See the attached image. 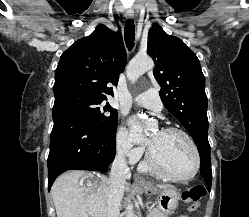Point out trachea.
Wrapping results in <instances>:
<instances>
[{
	"label": "trachea",
	"mask_w": 249,
	"mask_h": 217,
	"mask_svg": "<svg viewBox=\"0 0 249 217\" xmlns=\"http://www.w3.org/2000/svg\"><path fill=\"white\" fill-rule=\"evenodd\" d=\"M124 39L127 48L131 50L134 47L135 40V26L132 19L127 20L125 23Z\"/></svg>",
	"instance_id": "3493384b"
}]
</instances>
